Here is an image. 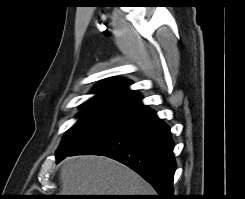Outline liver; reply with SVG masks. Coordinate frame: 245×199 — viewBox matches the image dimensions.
I'll return each instance as SVG.
<instances>
[{
	"label": "liver",
	"mask_w": 245,
	"mask_h": 199,
	"mask_svg": "<svg viewBox=\"0 0 245 199\" xmlns=\"http://www.w3.org/2000/svg\"><path fill=\"white\" fill-rule=\"evenodd\" d=\"M62 195H153L150 184L123 164L104 156H76L60 170Z\"/></svg>",
	"instance_id": "liver-1"
}]
</instances>
